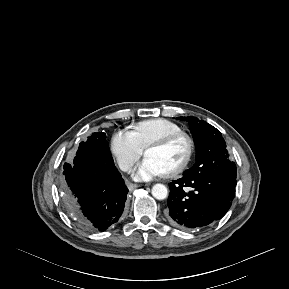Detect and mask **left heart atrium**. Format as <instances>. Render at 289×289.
<instances>
[{
	"mask_svg": "<svg viewBox=\"0 0 289 289\" xmlns=\"http://www.w3.org/2000/svg\"><path fill=\"white\" fill-rule=\"evenodd\" d=\"M166 173L165 169L156 160L147 157L136 169L134 177L137 180L149 181L164 176Z\"/></svg>",
	"mask_w": 289,
	"mask_h": 289,
	"instance_id": "left-heart-atrium-1",
	"label": "left heart atrium"
}]
</instances>
